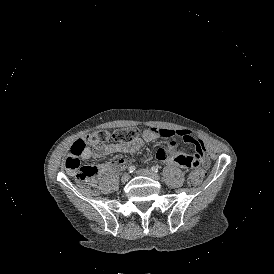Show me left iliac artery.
Here are the masks:
<instances>
[{
    "label": "left iliac artery",
    "mask_w": 274,
    "mask_h": 274,
    "mask_svg": "<svg viewBox=\"0 0 274 274\" xmlns=\"http://www.w3.org/2000/svg\"><path fill=\"white\" fill-rule=\"evenodd\" d=\"M151 170H152L153 172H158V171H159V168H158L157 166H152V167H151Z\"/></svg>",
    "instance_id": "obj_1"
}]
</instances>
